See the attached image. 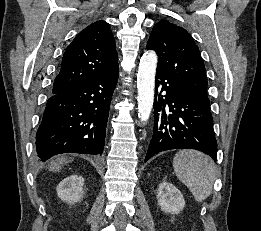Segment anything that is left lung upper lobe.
<instances>
[{
    "instance_id": "obj_1",
    "label": "left lung upper lobe",
    "mask_w": 261,
    "mask_h": 231,
    "mask_svg": "<svg viewBox=\"0 0 261 231\" xmlns=\"http://www.w3.org/2000/svg\"><path fill=\"white\" fill-rule=\"evenodd\" d=\"M158 55L157 70L169 76L190 97L210 103L199 49L189 33L167 20L158 22L147 42Z\"/></svg>"
}]
</instances>
